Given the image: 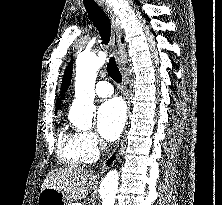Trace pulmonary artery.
I'll list each match as a JSON object with an SVG mask.
<instances>
[{"instance_id":"obj_1","label":"pulmonary artery","mask_w":222,"mask_h":205,"mask_svg":"<svg viewBox=\"0 0 222 205\" xmlns=\"http://www.w3.org/2000/svg\"><path fill=\"white\" fill-rule=\"evenodd\" d=\"M113 92L114 90H113L112 85L106 81L98 82L95 87L96 95L102 98L111 96Z\"/></svg>"}]
</instances>
